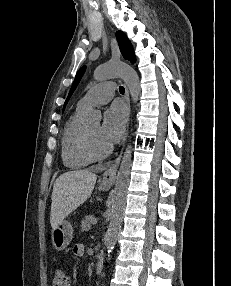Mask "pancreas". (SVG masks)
Returning <instances> with one entry per match:
<instances>
[{
  "mask_svg": "<svg viewBox=\"0 0 231 286\" xmlns=\"http://www.w3.org/2000/svg\"><path fill=\"white\" fill-rule=\"evenodd\" d=\"M93 218L94 217L92 215H87L84 217V219L81 221L82 231H88L91 228V223Z\"/></svg>",
  "mask_w": 231,
  "mask_h": 286,
  "instance_id": "obj_1",
  "label": "pancreas"
}]
</instances>
